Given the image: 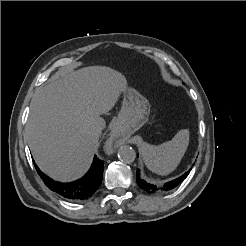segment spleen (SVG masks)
I'll list each match as a JSON object with an SVG mask.
<instances>
[{
	"instance_id": "obj_1",
	"label": "spleen",
	"mask_w": 246,
	"mask_h": 246,
	"mask_svg": "<svg viewBox=\"0 0 246 246\" xmlns=\"http://www.w3.org/2000/svg\"><path fill=\"white\" fill-rule=\"evenodd\" d=\"M189 135L188 129H182L172 140L158 146L142 142L140 151L146 167L162 176L173 172L188 148Z\"/></svg>"
}]
</instances>
